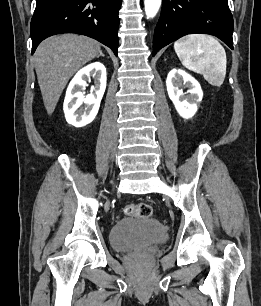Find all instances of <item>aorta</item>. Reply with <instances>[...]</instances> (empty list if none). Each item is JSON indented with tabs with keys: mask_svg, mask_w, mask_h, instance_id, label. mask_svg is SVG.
Masks as SVG:
<instances>
[{
	"mask_svg": "<svg viewBox=\"0 0 261 306\" xmlns=\"http://www.w3.org/2000/svg\"><path fill=\"white\" fill-rule=\"evenodd\" d=\"M145 13L148 18H153L158 13L161 0H144Z\"/></svg>",
	"mask_w": 261,
	"mask_h": 306,
	"instance_id": "1",
	"label": "aorta"
}]
</instances>
